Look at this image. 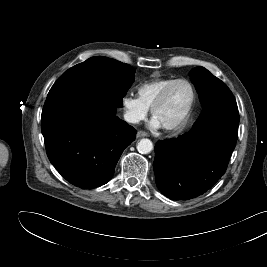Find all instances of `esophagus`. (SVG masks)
I'll return each mask as SVG.
<instances>
[{"label":"esophagus","instance_id":"34e87169","mask_svg":"<svg viewBox=\"0 0 267 267\" xmlns=\"http://www.w3.org/2000/svg\"><path fill=\"white\" fill-rule=\"evenodd\" d=\"M148 136V134L144 131H138L137 132V137L140 138V137H146Z\"/></svg>","mask_w":267,"mask_h":267}]
</instances>
